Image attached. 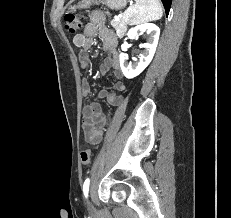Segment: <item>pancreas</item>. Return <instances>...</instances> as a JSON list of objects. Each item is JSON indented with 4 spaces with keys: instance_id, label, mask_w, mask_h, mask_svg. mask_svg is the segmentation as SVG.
Here are the masks:
<instances>
[{
    "instance_id": "cf45deb5",
    "label": "pancreas",
    "mask_w": 231,
    "mask_h": 218,
    "mask_svg": "<svg viewBox=\"0 0 231 218\" xmlns=\"http://www.w3.org/2000/svg\"><path fill=\"white\" fill-rule=\"evenodd\" d=\"M111 25L116 30L117 36L119 38H122L125 35V32L127 31V24L123 19H113L111 21Z\"/></svg>"
}]
</instances>
